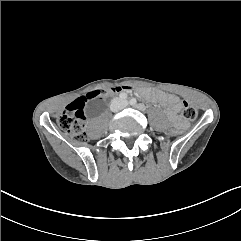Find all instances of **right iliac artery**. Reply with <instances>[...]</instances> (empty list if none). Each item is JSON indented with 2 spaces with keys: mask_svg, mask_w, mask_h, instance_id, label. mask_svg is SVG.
<instances>
[{
  "mask_svg": "<svg viewBox=\"0 0 241 241\" xmlns=\"http://www.w3.org/2000/svg\"><path fill=\"white\" fill-rule=\"evenodd\" d=\"M119 97H120L121 100H125V99H127V94L126 93H121L119 95Z\"/></svg>",
  "mask_w": 241,
  "mask_h": 241,
  "instance_id": "right-iliac-artery-1",
  "label": "right iliac artery"
}]
</instances>
